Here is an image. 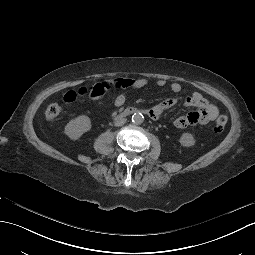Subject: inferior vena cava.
<instances>
[{"mask_svg": "<svg viewBox=\"0 0 255 255\" xmlns=\"http://www.w3.org/2000/svg\"><path fill=\"white\" fill-rule=\"evenodd\" d=\"M126 121H127L126 118L118 117V118L115 119L114 125L117 126V127L118 126H122V125H124L126 123Z\"/></svg>", "mask_w": 255, "mask_h": 255, "instance_id": "obj_1", "label": "inferior vena cava"}]
</instances>
